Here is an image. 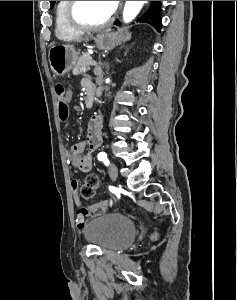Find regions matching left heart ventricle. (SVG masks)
<instances>
[{
  "instance_id": "1",
  "label": "left heart ventricle",
  "mask_w": 237,
  "mask_h": 300,
  "mask_svg": "<svg viewBox=\"0 0 237 300\" xmlns=\"http://www.w3.org/2000/svg\"><path fill=\"white\" fill-rule=\"evenodd\" d=\"M113 12L109 1H80L77 16L83 23L97 25L109 19Z\"/></svg>"
}]
</instances>
